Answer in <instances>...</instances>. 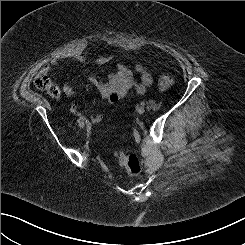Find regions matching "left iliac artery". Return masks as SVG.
Segmentation results:
<instances>
[{
    "instance_id": "left-iliac-artery-1",
    "label": "left iliac artery",
    "mask_w": 245,
    "mask_h": 245,
    "mask_svg": "<svg viewBox=\"0 0 245 245\" xmlns=\"http://www.w3.org/2000/svg\"><path fill=\"white\" fill-rule=\"evenodd\" d=\"M141 105L144 106L145 105V102H141Z\"/></svg>"
}]
</instances>
